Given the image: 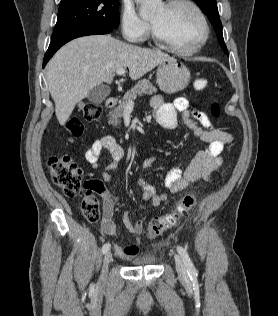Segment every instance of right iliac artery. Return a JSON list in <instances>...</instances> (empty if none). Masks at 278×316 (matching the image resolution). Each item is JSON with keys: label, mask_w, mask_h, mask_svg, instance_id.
<instances>
[{"label": "right iliac artery", "mask_w": 278, "mask_h": 316, "mask_svg": "<svg viewBox=\"0 0 278 316\" xmlns=\"http://www.w3.org/2000/svg\"><path fill=\"white\" fill-rule=\"evenodd\" d=\"M110 249V244L106 243L102 247V253H106Z\"/></svg>", "instance_id": "1"}]
</instances>
